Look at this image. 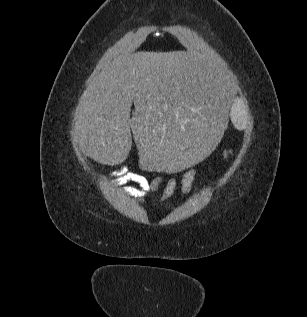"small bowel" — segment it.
<instances>
[{
    "label": "small bowel",
    "mask_w": 307,
    "mask_h": 317,
    "mask_svg": "<svg viewBox=\"0 0 307 317\" xmlns=\"http://www.w3.org/2000/svg\"><path fill=\"white\" fill-rule=\"evenodd\" d=\"M198 174L195 170L190 169L186 171L183 175L181 181V194L182 197H185L191 190L193 183L196 181ZM129 178L141 187L139 192L140 196H144L147 193L154 192L158 189L159 185L167 178V183L163 191L162 196L160 197L159 202L163 203L168 198H170L176 190L177 181L174 177L170 175L167 171H162L152 180L148 181L141 173L133 171L130 173Z\"/></svg>",
    "instance_id": "small-bowel-1"
}]
</instances>
